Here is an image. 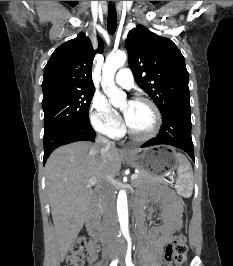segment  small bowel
Returning a JSON list of instances; mask_svg holds the SVG:
<instances>
[{
	"mask_svg": "<svg viewBox=\"0 0 233 266\" xmlns=\"http://www.w3.org/2000/svg\"><path fill=\"white\" fill-rule=\"evenodd\" d=\"M151 206L148 210L147 219H138L139 233L158 258L162 257L164 246L169 243L176 231L182 226V201L170 190L164 189L151 198ZM147 203L146 198L137 201V206L144 212ZM159 210L162 223L158 226L149 227L148 224L155 210ZM89 262L95 263L98 259L97 243L90 241L87 247ZM167 266H170L169 264Z\"/></svg>",
	"mask_w": 233,
	"mask_h": 266,
	"instance_id": "c3829d8e",
	"label": "small bowel"
}]
</instances>
